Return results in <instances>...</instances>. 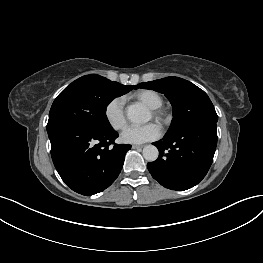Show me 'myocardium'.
Here are the masks:
<instances>
[{
  "label": "myocardium",
  "mask_w": 263,
  "mask_h": 263,
  "mask_svg": "<svg viewBox=\"0 0 263 263\" xmlns=\"http://www.w3.org/2000/svg\"><path fill=\"white\" fill-rule=\"evenodd\" d=\"M152 115L160 121H164L167 117V113L164 109H162L161 107L159 108H153L152 109Z\"/></svg>",
  "instance_id": "myocardium-1"
}]
</instances>
